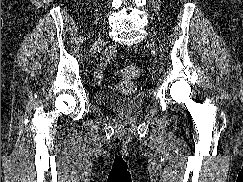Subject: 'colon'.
I'll return each mask as SVG.
<instances>
[{"label":"colon","instance_id":"colon-1","mask_svg":"<svg viewBox=\"0 0 243 182\" xmlns=\"http://www.w3.org/2000/svg\"><path fill=\"white\" fill-rule=\"evenodd\" d=\"M141 73V70L136 66H127L120 70V75L125 80L136 79Z\"/></svg>","mask_w":243,"mask_h":182}]
</instances>
